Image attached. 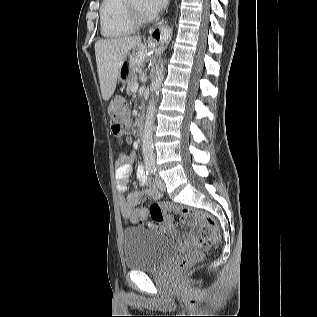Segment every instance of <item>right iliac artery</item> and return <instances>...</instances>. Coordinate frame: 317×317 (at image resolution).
<instances>
[{
  "label": "right iliac artery",
  "instance_id": "obj_1",
  "mask_svg": "<svg viewBox=\"0 0 317 317\" xmlns=\"http://www.w3.org/2000/svg\"><path fill=\"white\" fill-rule=\"evenodd\" d=\"M155 173V168H149L146 171V174L153 175Z\"/></svg>",
  "mask_w": 317,
  "mask_h": 317
}]
</instances>
